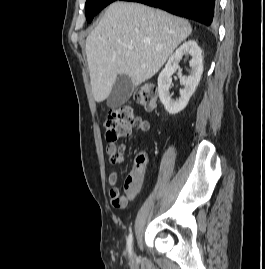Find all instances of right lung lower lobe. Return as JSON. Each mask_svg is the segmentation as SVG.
I'll list each match as a JSON object with an SVG mask.
<instances>
[{
	"label": "right lung lower lobe",
	"instance_id": "1",
	"mask_svg": "<svg viewBox=\"0 0 265 269\" xmlns=\"http://www.w3.org/2000/svg\"><path fill=\"white\" fill-rule=\"evenodd\" d=\"M143 3L166 10L172 14L189 18L207 26L214 21L217 0H121Z\"/></svg>",
	"mask_w": 265,
	"mask_h": 269
}]
</instances>
